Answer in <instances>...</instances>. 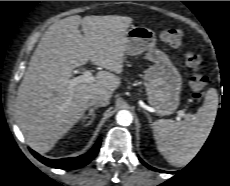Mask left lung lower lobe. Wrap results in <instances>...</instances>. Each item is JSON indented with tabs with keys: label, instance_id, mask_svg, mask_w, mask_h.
I'll use <instances>...</instances> for the list:
<instances>
[{
	"label": "left lung lower lobe",
	"instance_id": "1",
	"mask_svg": "<svg viewBox=\"0 0 230 186\" xmlns=\"http://www.w3.org/2000/svg\"><path fill=\"white\" fill-rule=\"evenodd\" d=\"M139 160H140L146 167H148L149 169H152V170H155V171H159V172H164V171H162V170H158V169H155V168H153V167H150V166L147 165L144 161H142L140 158H139Z\"/></svg>",
	"mask_w": 230,
	"mask_h": 186
}]
</instances>
